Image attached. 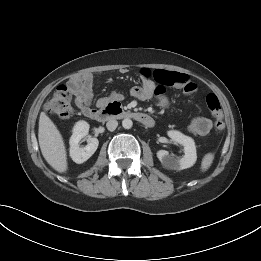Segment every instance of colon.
I'll use <instances>...</instances> for the list:
<instances>
[{
  "instance_id": "colon-1",
  "label": "colon",
  "mask_w": 261,
  "mask_h": 261,
  "mask_svg": "<svg viewBox=\"0 0 261 261\" xmlns=\"http://www.w3.org/2000/svg\"><path fill=\"white\" fill-rule=\"evenodd\" d=\"M206 104L214 118L215 128L221 130L225 124L223 121V112L218 97L210 93L206 97ZM45 111L59 119L66 120L72 115L71 92L64 86H59L52 97L45 104Z\"/></svg>"
}]
</instances>
